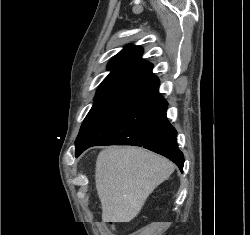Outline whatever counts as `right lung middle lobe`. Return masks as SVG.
Returning a JSON list of instances; mask_svg holds the SVG:
<instances>
[{"mask_svg": "<svg viewBox=\"0 0 250 235\" xmlns=\"http://www.w3.org/2000/svg\"><path fill=\"white\" fill-rule=\"evenodd\" d=\"M129 98L126 96L95 97V102L83 121L76 144Z\"/></svg>", "mask_w": 250, "mask_h": 235, "instance_id": "obj_1", "label": "right lung middle lobe"}]
</instances>
